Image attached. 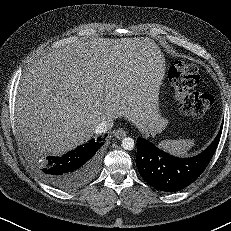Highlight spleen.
Listing matches in <instances>:
<instances>
[{"mask_svg":"<svg viewBox=\"0 0 231 231\" xmlns=\"http://www.w3.org/2000/svg\"><path fill=\"white\" fill-rule=\"evenodd\" d=\"M194 144L190 139L163 140L159 143V147L172 155L185 156Z\"/></svg>","mask_w":231,"mask_h":231,"instance_id":"obj_1","label":"spleen"}]
</instances>
